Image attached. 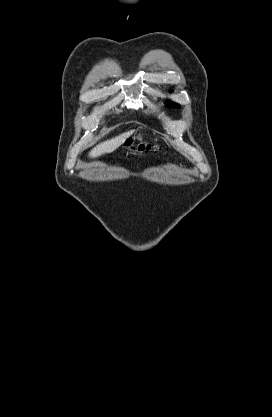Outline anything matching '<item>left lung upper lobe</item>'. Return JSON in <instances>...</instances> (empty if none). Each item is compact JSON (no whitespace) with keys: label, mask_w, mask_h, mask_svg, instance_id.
I'll list each match as a JSON object with an SVG mask.
<instances>
[{"label":"left lung upper lobe","mask_w":272,"mask_h":417,"mask_svg":"<svg viewBox=\"0 0 272 417\" xmlns=\"http://www.w3.org/2000/svg\"><path fill=\"white\" fill-rule=\"evenodd\" d=\"M166 105L169 107H175V108H180L179 104L173 103V102H166Z\"/></svg>","instance_id":"5c2ea615"}]
</instances>
